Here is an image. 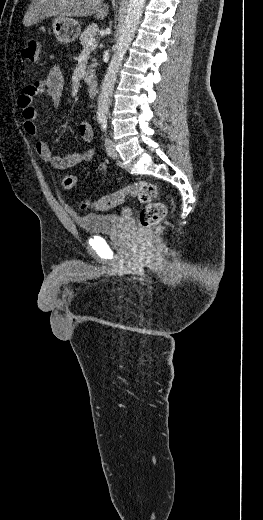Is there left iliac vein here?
I'll return each mask as SVG.
<instances>
[{"label": "left iliac vein", "mask_w": 263, "mask_h": 520, "mask_svg": "<svg viewBox=\"0 0 263 520\" xmlns=\"http://www.w3.org/2000/svg\"><path fill=\"white\" fill-rule=\"evenodd\" d=\"M105 148L110 157L114 159L119 157V154L114 147L113 141L110 138L105 139Z\"/></svg>", "instance_id": "obj_1"}]
</instances>
